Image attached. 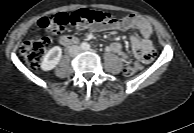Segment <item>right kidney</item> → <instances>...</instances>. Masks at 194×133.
Returning a JSON list of instances; mask_svg holds the SVG:
<instances>
[{
	"label": "right kidney",
	"instance_id": "obj_1",
	"mask_svg": "<svg viewBox=\"0 0 194 133\" xmlns=\"http://www.w3.org/2000/svg\"><path fill=\"white\" fill-rule=\"evenodd\" d=\"M62 56V49L59 46L51 48L44 56L41 62L43 71H50L56 67Z\"/></svg>",
	"mask_w": 194,
	"mask_h": 133
}]
</instances>
